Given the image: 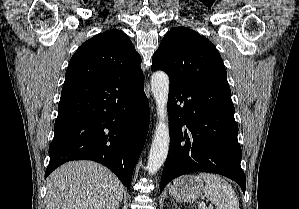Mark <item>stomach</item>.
Masks as SVG:
<instances>
[{
	"instance_id": "1",
	"label": "stomach",
	"mask_w": 299,
	"mask_h": 209,
	"mask_svg": "<svg viewBox=\"0 0 299 209\" xmlns=\"http://www.w3.org/2000/svg\"><path fill=\"white\" fill-rule=\"evenodd\" d=\"M203 189L202 179L186 175L174 180L169 188V193L177 202L191 203L202 196Z\"/></svg>"
}]
</instances>
